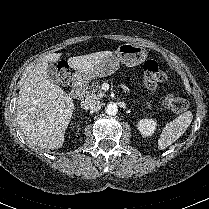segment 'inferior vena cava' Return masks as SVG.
Returning <instances> with one entry per match:
<instances>
[{
    "mask_svg": "<svg viewBox=\"0 0 209 209\" xmlns=\"http://www.w3.org/2000/svg\"><path fill=\"white\" fill-rule=\"evenodd\" d=\"M81 106L85 109L99 111L101 109L100 101L95 100H85L82 102Z\"/></svg>",
    "mask_w": 209,
    "mask_h": 209,
    "instance_id": "1",
    "label": "inferior vena cava"
}]
</instances>
